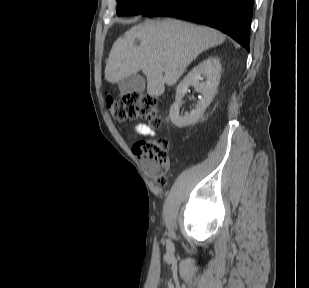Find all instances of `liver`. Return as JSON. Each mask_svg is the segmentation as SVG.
I'll return each instance as SVG.
<instances>
[{
  "label": "liver",
  "instance_id": "liver-1",
  "mask_svg": "<svg viewBox=\"0 0 309 288\" xmlns=\"http://www.w3.org/2000/svg\"><path fill=\"white\" fill-rule=\"evenodd\" d=\"M224 41L225 36L210 27L175 19L148 20L133 26L113 44L105 79L118 83L142 71L148 95L159 97L165 85H174L199 54Z\"/></svg>",
  "mask_w": 309,
  "mask_h": 288
}]
</instances>
